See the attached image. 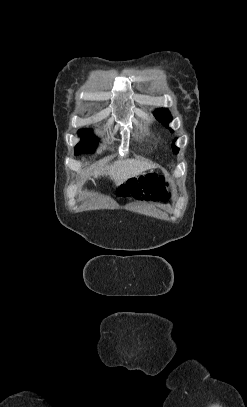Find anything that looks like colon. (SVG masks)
Wrapping results in <instances>:
<instances>
[{
    "mask_svg": "<svg viewBox=\"0 0 247 407\" xmlns=\"http://www.w3.org/2000/svg\"><path fill=\"white\" fill-rule=\"evenodd\" d=\"M118 194L136 199L167 201L170 197L164 177L150 174L131 179L118 189Z\"/></svg>",
    "mask_w": 247,
    "mask_h": 407,
    "instance_id": "1",
    "label": "colon"
}]
</instances>
